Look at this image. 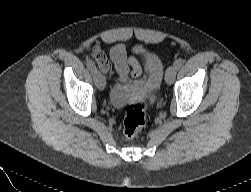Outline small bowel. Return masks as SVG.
<instances>
[{
  "label": "small bowel",
  "mask_w": 251,
  "mask_h": 192,
  "mask_svg": "<svg viewBox=\"0 0 251 192\" xmlns=\"http://www.w3.org/2000/svg\"><path fill=\"white\" fill-rule=\"evenodd\" d=\"M94 58L102 71L105 73L115 71L121 81H126L129 75L137 80L144 77L142 60L129 55L121 43L112 47L109 57L102 50L96 48Z\"/></svg>",
  "instance_id": "small-bowel-1"
}]
</instances>
